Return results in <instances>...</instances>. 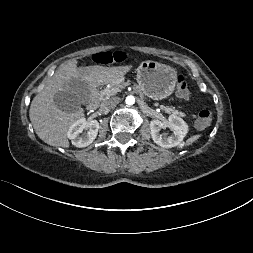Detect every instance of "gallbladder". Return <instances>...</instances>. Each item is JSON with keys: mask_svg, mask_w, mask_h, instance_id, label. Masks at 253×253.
Masks as SVG:
<instances>
[{"mask_svg": "<svg viewBox=\"0 0 253 253\" xmlns=\"http://www.w3.org/2000/svg\"><path fill=\"white\" fill-rule=\"evenodd\" d=\"M89 102V88L80 79L68 83V88L54 95L55 106L64 112H74L80 104Z\"/></svg>", "mask_w": 253, "mask_h": 253, "instance_id": "bac80fb5", "label": "gallbladder"}]
</instances>
